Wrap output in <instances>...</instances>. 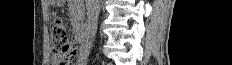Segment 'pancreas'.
I'll return each mask as SVG.
<instances>
[{
    "label": "pancreas",
    "instance_id": "1",
    "mask_svg": "<svg viewBox=\"0 0 232 65\" xmlns=\"http://www.w3.org/2000/svg\"><path fill=\"white\" fill-rule=\"evenodd\" d=\"M74 26H75L76 29H79L82 26V23L81 24L80 23H76V24H74Z\"/></svg>",
    "mask_w": 232,
    "mask_h": 65
}]
</instances>
